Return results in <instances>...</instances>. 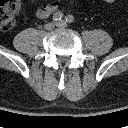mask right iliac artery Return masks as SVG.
<instances>
[{
    "label": "right iliac artery",
    "instance_id": "1",
    "mask_svg": "<svg viewBox=\"0 0 128 128\" xmlns=\"http://www.w3.org/2000/svg\"><path fill=\"white\" fill-rule=\"evenodd\" d=\"M63 18V13L58 11L56 13L53 14V21H60Z\"/></svg>",
    "mask_w": 128,
    "mask_h": 128
}]
</instances>
